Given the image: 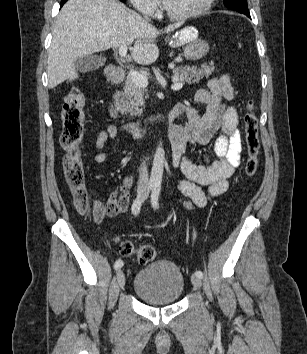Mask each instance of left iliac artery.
Returning <instances> with one entry per match:
<instances>
[{
	"mask_svg": "<svg viewBox=\"0 0 307 354\" xmlns=\"http://www.w3.org/2000/svg\"><path fill=\"white\" fill-rule=\"evenodd\" d=\"M160 190H161L160 184H155L153 186V190H152V194H151V204L154 209L158 208V199H159ZM195 275L199 278H203V273L200 270H197L195 272Z\"/></svg>",
	"mask_w": 307,
	"mask_h": 354,
	"instance_id": "1",
	"label": "left iliac artery"
}]
</instances>
